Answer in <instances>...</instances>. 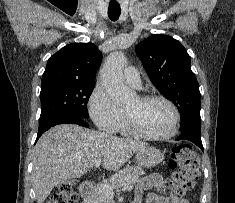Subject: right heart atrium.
<instances>
[{
	"label": "right heart atrium",
	"mask_w": 235,
	"mask_h": 203,
	"mask_svg": "<svg viewBox=\"0 0 235 203\" xmlns=\"http://www.w3.org/2000/svg\"><path fill=\"white\" fill-rule=\"evenodd\" d=\"M88 112L95 125L107 133L116 132L125 119L124 111L100 85L93 89L89 97Z\"/></svg>",
	"instance_id": "obj_1"
}]
</instances>
